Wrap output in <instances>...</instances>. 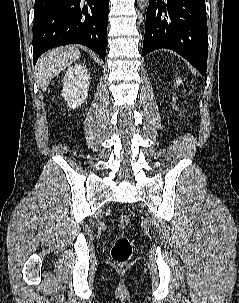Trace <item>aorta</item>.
<instances>
[{
  "instance_id": "aorta-1",
  "label": "aorta",
  "mask_w": 239,
  "mask_h": 303,
  "mask_svg": "<svg viewBox=\"0 0 239 303\" xmlns=\"http://www.w3.org/2000/svg\"><path fill=\"white\" fill-rule=\"evenodd\" d=\"M138 4H139V7L141 9H144L148 6L149 4V0H137Z\"/></svg>"
}]
</instances>
